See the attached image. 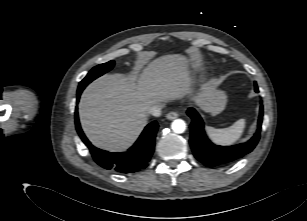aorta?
Segmentation results:
<instances>
[{
	"label": "aorta",
	"instance_id": "762f6f07",
	"mask_svg": "<svg viewBox=\"0 0 307 221\" xmlns=\"http://www.w3.org/2000/svg\"><path fill=\"white\" fill-rule=\"evenodd\" d=\"M171 128L175 133H183L186 130V123L182 119H176L172 122Z\"/></svg>",
	"mask_w": 307,
	"mask_h": 221
}]
</instances>
